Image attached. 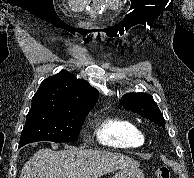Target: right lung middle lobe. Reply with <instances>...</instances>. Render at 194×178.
Listing matches in <instances>:
<instances>
[{
    "instance_id": "dd1d6c3e",
    "label": "right lung middle lobe",
    "mask_w": 194,
    "mask_h": 178,
    "mask_svg": "<svg viewBox=\"0 0 194 178\" xmlns=\"http://www.w3.org/2000/svg\"><path fill=\"white\" fill-rule=\"evenodd\" d=\"M89 111H71L49 102H32L19 145L37 141L73 142Z\"/></svg>"
}]
</instances>
